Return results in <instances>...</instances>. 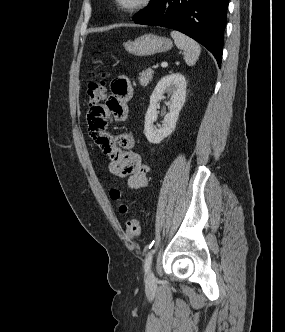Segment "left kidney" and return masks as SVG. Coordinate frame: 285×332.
<instances>
[{
	"label": "left kidney",
	"instance_id": "left-kidney-1",
	"mask_svg": "<svg viewBox=\"0 0 285 332\" xmlns=\"http://www.w3.org/2000/svg\"><path fill=\"white\" fill-rule=\"evenodd\" d=\"M187 82L184 75L172 73L163 77L156 85L150 96V104L145 115L144 132L147 140L152 144H158L175 130L186 98ZM165 92L172 95L170 111L164 117L162 125L154 126L157 119L156 105L163 98Z\"/></svg>",
	"mask_w": 285,
	"mask_h": 332
}]
</instances>
